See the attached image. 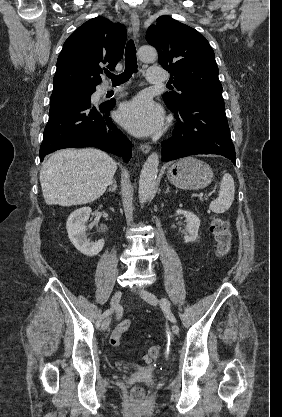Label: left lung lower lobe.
<instances>
[{"label":"left lung lower lobe","instance_id":"left-lung-lower-lobe-1","mask_svg":"<svg viewBox=\"0 0 282 417\" xmlns=\"http://www.w3.org/2000/svg\"><path fill=\"white\" fill-rule=\"evenodd\" d=\"M178 120L173 137L162 143V161L196 154L223 155L236 164L221 93L198 91L178 108H170Z\"/></svg>","mask_w":282,"mask_h":417}]
</instances>
